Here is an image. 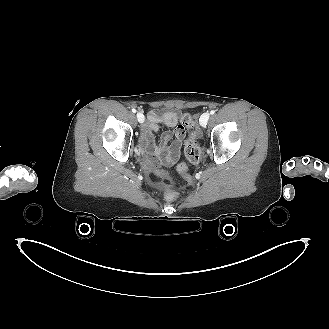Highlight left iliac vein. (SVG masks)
<instances>
[{"label": "left iliac vein", "instance_id": "obj_1", "mask_svg": "<svg viewBox=\"0 0 329 329\" xmlns=\"http://www.w3.org/2000/svg\"><path fill=\"white\" fill-rule=\"evenodd\" d=\"M209 117H210V114L207 113V112H206V113H203V114L201 115L199 122H200V125H201L202 127H205V126L207 125L208 120H209Z\"/></svg>", "mask_w": 329, "mask_h": 329}]
</instances>
